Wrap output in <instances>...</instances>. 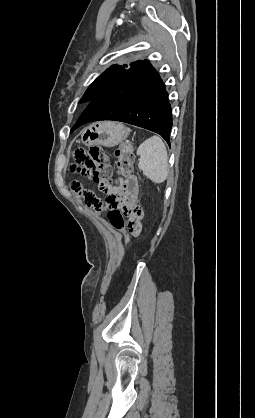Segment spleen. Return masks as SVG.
<instances>
[{
	"label": "spleen",
	"mask_w": 255,
	"mask_h": 418,
	"mask_svg": "<svg viewBox=\"0 0 255 418\" xmlns=\"http://www.w3.org/2000/svg\"><path fill=\"white\" fill-rule=\"evenodd\" d=\"M139 169L154 183H162L168 177V156L165 144L159 136H152L139 145Z\"/></svg>",
	"instance_id": "1"
}]
</instances>
